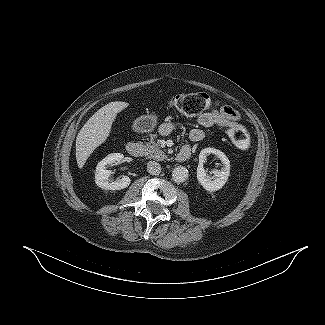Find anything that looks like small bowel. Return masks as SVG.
Returning <instances> with one entry per match:
<instances>
[{
  "label": "small bowel",
  "mask_w": 325,
  "mask_h": 325,
  "mask_svg": "<svg viewBox=\"0 0 325 325\" xmlns=\"http://www.w3.org/2000/svg\"><path fill=\"white\" fill-rule=\"evenodd\" d=\"M240 114L230 106H222L202 114L197 122L205 128L224 127L229 128L233 123H238ZM174 129L172 122H165L160 126V133L167 135ZM205 133L200 128H194L190 131L189 138L192 142H200L204 139Z\"/></svg>",
  "instance_id": "1"
}]
</instances>
